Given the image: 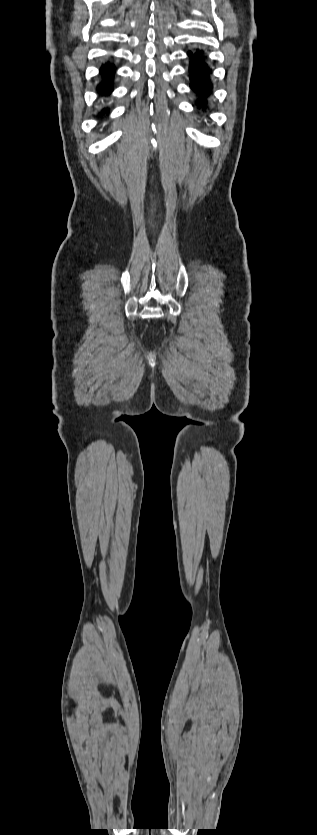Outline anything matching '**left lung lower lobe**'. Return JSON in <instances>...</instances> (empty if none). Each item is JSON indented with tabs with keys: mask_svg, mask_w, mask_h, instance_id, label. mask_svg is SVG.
<instances>
[{
	"mask_svg": "<svg viewBox=\"0 0 317 835\" xmlns=\"http://www.w3.org/2000/svg\"><path fill=\"white\" fill-rule=\"evenodd\" d=\"M202 50H194L189 51L188 55L191 57L190 60V88L194 91H198L201 93V97H207L208 93L212 89V84L209 78L210 68L208 67L207 63L204 61ZM197 105L199 109H205L206 102L201 100Z\"/></svg>",
	"mask_w": 317,
	"mask_h": 835,
	"instance_id": "obj_1",
	"label": "left lung lower lobe"
}]
</instances>
